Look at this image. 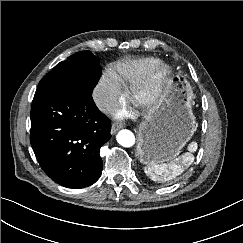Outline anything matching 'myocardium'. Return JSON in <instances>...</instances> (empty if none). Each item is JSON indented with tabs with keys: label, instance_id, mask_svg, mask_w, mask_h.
Wrapping results in <instances>:
<instances>
[{
	"label": "myocardium",
	"instance_id": "myocardium-1",
	"mask_svg": "<svg viewBox=\"0 0 243 243\" xmlns=\"http://www.w3.org/2000/svg\"><path fill=\"white\" fill-rule=\"evenodd\" d=\"M172 76V67L158 61L141 80L131 86L128 94L130 102L146 112L156 109L163 99Z\"/></svg>",
	"mask_w": 243,
	"mask_h": 243
}]
</instances>
